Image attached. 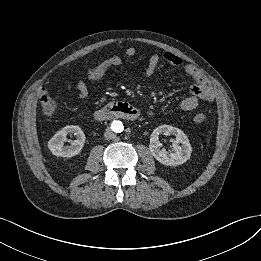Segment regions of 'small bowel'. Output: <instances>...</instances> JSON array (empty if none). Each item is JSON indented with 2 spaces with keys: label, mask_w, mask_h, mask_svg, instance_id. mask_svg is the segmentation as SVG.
<instances>
[{
  "label": "small bowel",
  "mask_w": 261,
  "mask_h": 261,
  "mask_svg": "<svg viewBox=\"0 0 261 261\" xmlns=\"http://www.w3.org/2000/svg\"><path fill=\"white\" fill-rule=\"evenodd\" d=\"M135 55H136L135 48L129 47L126 50L127 57H133ZM163 58L167 62H169L173 65H181L183 63L179 57H177L176 55H174L172 53H166L163 56ZM160 60H161V57L158 54H153L150 56L146 70H145V75L148 79L155 78ZM122 63L123 62L120 57L113 56V57L109 58L108 60H105L104 62L100 63L97 66L89 67L85 73L84 79L79 81L76 86V89H77L76 96L80 99L87 97V94H88L87 85H86L87 82H92V81L99 79L104 74H106L112 67L119 66ZM184 71L190 77H192L194 82L200 81L205 77V75L203 74V71L200 68H198L197 66L192 65V64H186L184 66ZM67 89L70 92H72V90H73V88L70 85L67 86ZM213 98H214V89H213L212 85L209 84L208 87L205 90H203L201 93H199L197 95L191 94V95L185 97L181 102L180 108L183 111H191L199 105L200 101L209 102V101H212ZM151 114L152 113H150V115Z\"/></svg>",
  "instance_id": "small-bowel-1"
}]
</instances>
